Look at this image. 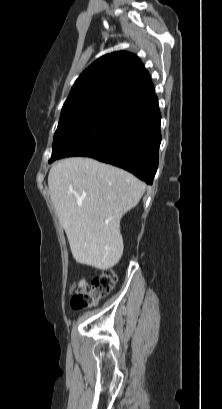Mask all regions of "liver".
Returning a JSON list of instances; mask_svg holds the SVG:
<instances>
[{"instance_id":"obj_1","label":"liver","mask_w":222,"mask_h":409,"mask_svg":"<svg viewBox=\"0 0 222 409\" xmlns=\"http://www.w3.org/2000/svg\"><path fill=\"white\" fill-rule=\"evenodd\" d=\"M48 186L74 259L99 270L115 266L124 249L120 220L139 203L145 185L123 169L72 157L52 166Z\"/></svg>"}]
</instances>
